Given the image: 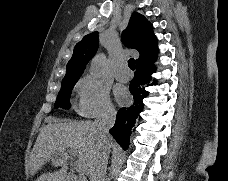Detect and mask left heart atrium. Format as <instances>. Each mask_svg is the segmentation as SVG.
<instances>
[{"instance_id": "obj_1", "label": "left heart atrium", "mask_w": 228, "mask_h": 181, "mask_svg": "<svg viewBox=\"0 0 228 181\" xmlns=\"http://www.w3.org/2000/svg\"><path fill=\"white\" fill-rule=\"evenodd\" d=\"M123 94H124V93H123L121 90H118V91H117V97H118L119 99L122 98Z\"/></svg>"}]
</instances>
